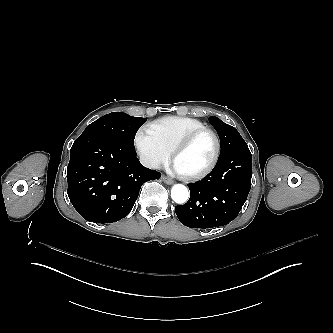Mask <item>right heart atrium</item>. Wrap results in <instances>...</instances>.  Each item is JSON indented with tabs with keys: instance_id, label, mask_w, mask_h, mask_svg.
I'll return each mask as SVG.
<instances>
[{
	"instance_id": "right-heart-atrium-1",
	"label": "right heart atrium",
	"mask_w": 333,
	"mask_h": 333,
	"mask_svg": "<svg viewBox=\"0 0 333 333\" xmlns=\"http://www.w3.org/2000/svg\"><path fill=\"white\" fill-rule=\"evenodd\" d=\"M135 147L148 167L160 169L165 166L169 157V151L162 145L144 139L142 134L139 133L135 140Z\"/></svg>"
}]
</instances>
